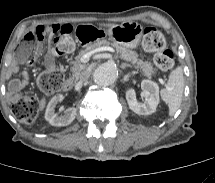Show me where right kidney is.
I'll list each match as a JSON object with an SVG mask.
<instances>
[{"label": "right kidney", "instance_id": "1", "mask_svg": "<svg viewBox=\"0 0 215 183\" xmlns=\"http://www.w3.org/2000/svg\"><path fill=\"white\" fill-rule=\"evenodd\" d=\"M64 99L62 94L55 95L47 105L46 112H45V119L52 125V126H67L72 123L76 117V109L75 108H68L65 110L63 115H58L55 112V108L59 102Z\"/></svg>", "mask_w": 215, "mask_h": 183}]
</instances>
